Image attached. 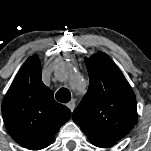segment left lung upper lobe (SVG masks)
Listing matches in <instances>:
<instances>
[{
	"label": "left lung upper lobe",
	"instance_id": "5c2ea615",
	"mask_svg": "<svg viewBox=\"0 0 151 151\" xmlns=\"http://www.w3.org/2000/svg\"><path fill=\"white\" fill-rule=\"evenodd\" d=\"M89 88L72 117L91 143L122 139L136 124L135 94L124 75L105 53L85 58Z\"/></svg>",
	"mask_w": 151,
	"mask_h": 151
}]
</instances>
